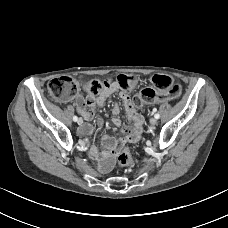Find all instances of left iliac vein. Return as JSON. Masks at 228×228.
Instances as JSON below:
<instances>
[{
  "mask_svg": "<svg viewBox=\"0 0 228 228\" xmlns=\"http://www.w3.org/2000/svg\"><path fill=\"white\" fill-rule=\"evenodd\" d=\"M150 124H151L152 126L156 125V124H157V119H156L155 117H152V118L150 119Z\"/></svg>",
  "mask_w": 228,
  "mask_h": 228,
  "instance_id": "left-iliac-vein-1",
  "label": "left iliac vein"
}]
</instances>
